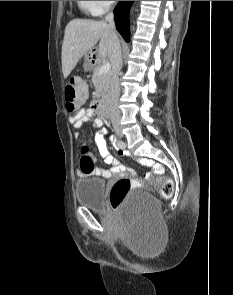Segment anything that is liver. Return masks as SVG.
<instances>
[{"label":"liver","instance_id":"obj_1","mask_svg":"<svg viewBox=\"0 0 233 295\" xmlns=\"http://www.w3.org/2000/svg\"><path fill=\"white\" fill-rule=\"evenodd\" d=\"M112 30L104 21L73 19L64 33L62 44V72L67 78L81 57L91 51L99 41L97 59L103 60L108 54Z\"/></svg>","mask_w":233,"mask_h":295}]
</instances>
